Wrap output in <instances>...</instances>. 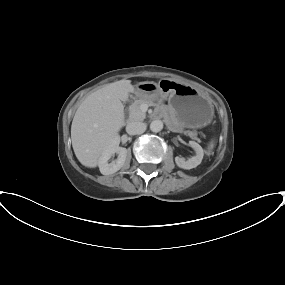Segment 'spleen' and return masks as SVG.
<instances>
[{
	"mask_svg": "<svg viewBox=\"0 0 285 285\" xmlns=\"http://www.w3.org/2000/svg\"><path fill=\"white\" fill-rule=\"evenodd\" d=\"M213 147H214V143L213 142H211L210 143V145H209V147H208V152L210 153L211 152V150L213 149Z\"/></svg>",
	"mask_w": 285,
	"mask_h": 285,
	"instance_id": "1",
	"label": "spleen"
}]
</instances>
